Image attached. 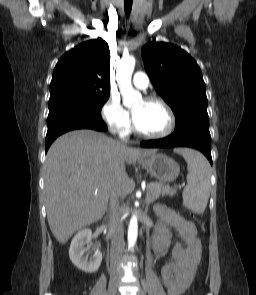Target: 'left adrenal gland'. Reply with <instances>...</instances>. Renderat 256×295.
<instances>
[{
	"instance_id": "left-adrenal-gland-1",
	"label": "left adrenal gland",
	"mask_w": 256,
	"mask_h": 295,
	"mask_svg": "<svg viewBox=\"0 0 256 295\" xmlns=\"http://www.w3.org/2000/svg\"><path fill=\"white\" fill-rule=\"evenodd\" d=\"M148 210V206L146 205V211Z\"/></svg>"
}]
</instances>
